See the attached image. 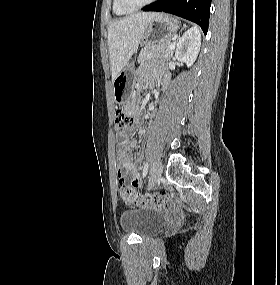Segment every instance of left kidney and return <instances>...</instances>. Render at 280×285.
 <instances>
[{"label": "left kidney", "mask_w": 280, "mask_h": 285, "mask_svg": "<svg viewBox=\"0 0 280 285\" xmlns=\"http://www.w3.org/2000/svg\"><path fill=\"white\" fill-rule=\"evenodd\" d=\"M201 46V34L197 27H191L180 38L175 57L191 67L195 62Z\"/></svg>", "instance_id": "left-kidney-1"}]
</instances>
